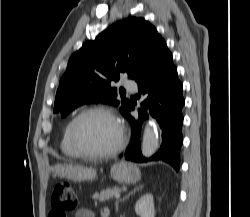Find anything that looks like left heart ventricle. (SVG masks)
I'll list each match as a JSON object with an SVG mask.
<instances>
[{
  "mask_svg": "<svg viewBox=\"0 0 250 217\" xmlns=\"http://www.w3.org/2000/svg\"><path fill=\"white\" fill-rule=\"evenodd\" d=\"M76 138L83 149L90 152H103L116 144L118 129L107 115L91 113L78 121Z\"/></svg>",
  "mask_w": 250,
  "mask_h": 217,
  "instance_id": "b2bd125f",
  "label": "left heart ventricle"
}]
</instances>
